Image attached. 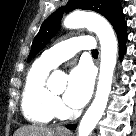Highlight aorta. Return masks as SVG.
Instances as JSON below:
<instances>
[{"label": "aorta", "mask_w": 136, "mask_h": 136, "mask_svg": "<svg viewBox=\"0 0 136 136\" xmlns=\"http://www.w3.org/2000/svg\"><path fill=\"white\" fill-rule=\"evenodd\" d=\"M64 26L69 29L87 27L96 33L101 45V63L96 95L78 128V136H89L101 119L108 102L116 65L117 39L109 22L95 13L72 12L64 19ZM49 86L64 90L65 75L60 71L53 72L49 79Z\"/></svg>", "instance_id": "1"}]
</instances>
